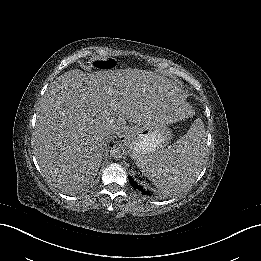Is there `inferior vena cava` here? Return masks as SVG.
<instances>
[{"label":"inferior vena cava","mask_w":261,"mask_h":261,"mask_svg":"<svg viewBox=\"0 0 261 261\" xmlns=\"http://www.w3.org/2000/svg\"><path fill=\"white\" fill-rule=\"evenodd\" d=\"M115 132H108L107 133V136H110V135H112V134H114Z\"/></svg>","instance_id":"602c4592"}]
</instances>
